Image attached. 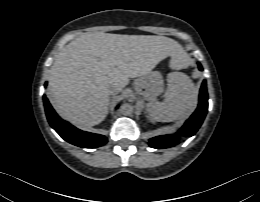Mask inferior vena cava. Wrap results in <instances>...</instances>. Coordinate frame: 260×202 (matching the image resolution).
I'll return each mask as SVG.
<instances>
[{
  "mask_svg": "<svg viewBox=\"0 0 260 202\" xmlns=\"http://www.w3.org/2000/svg\"><path fill=\"white\" fill-rule=\"evenodd\" d=\"M121 91V88L119 87V86H115V87H112L111 89H110V93L111 94H116V93H118V92H120Z\"/></svg>",
  "mask_w": 260,
  "mask_h": 202,
  "instance_id": "inferior-vena-cava-1",
  "label": "inferior vena cava"
}]
</instances>
